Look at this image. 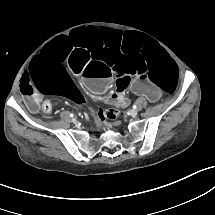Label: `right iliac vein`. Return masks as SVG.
I'll return each mask as SVG.
<instances>
[{"instance_id":"63e3f726","label":"right iliac vein","mask_w":215,"mask_h":215,"mask_svg":"<svg viewBox=\"0 0 215 215\" xmlns=\"http://www.w3.org/2000/svg\"><path fill=\"white\" fill-rule=\"evenodd\" d=\"M72 122H73V123H76L77 121H76V119H75V118H72Z\"/></svg>"}]
</instances>
